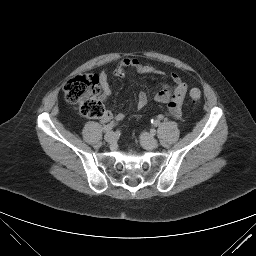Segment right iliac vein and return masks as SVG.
<instances>
[{"label":"right iliac vein","instance_id":"63e3f726","mask_svg":"<svg viewBox=\"0 0 256 256\" xmlns=\"http://www.w3.org/2000/svg\"><path fill=\"white\" fill-rule=\"evenodd\" d=\"M104 139L108 143H113L115 141V134L114 132H108L105 134Z\"/></svg>","mask_w":256,"mask_h":256}]
</instances>
